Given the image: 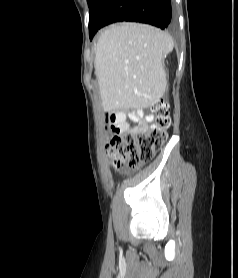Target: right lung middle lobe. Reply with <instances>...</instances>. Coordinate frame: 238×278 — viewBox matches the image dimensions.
<instances>
[{"mask_svg":"<svg viewBox=\"0 0 238 278\" xmlns=\"http://www.w3.org/2000/svg\"><path fill=\"white\" fill-rule=\"evenodd\" d=\"M87 1H88L89 8L91 9L92 5L96 0H87Z\"/></svg>","mask_w":238,"mask_h":278,"instance_id":"dd1d6c3e","label":"right lung middle lobe"}]
</instances>
